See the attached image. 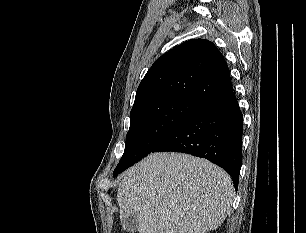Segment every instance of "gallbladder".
Instances as JSON below:
<instances>
[{"label": "gallbladder", "instance_id": "gallbladder-1", "mask_svg": "<svg viewBox=\"0 0 306 233\" xmlns=\"http://www.w3.org/2000/svg\"><path fill=\"white\" fill-rule=\"evenodd\" d=\"M121 225L123 230L134 232L137 230V217L131 214L127 218L121 220Z\"/></svg>", "mask_w": 306, "mask_h": 233}]
</instances>
